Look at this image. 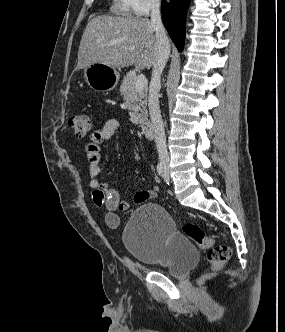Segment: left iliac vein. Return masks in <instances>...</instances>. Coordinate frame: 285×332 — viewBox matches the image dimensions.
<instances>
[{"label": "left iliac vein", "mask_w": 285, "mask_h": 332, "mask_svg": "<svg viewBox=\"0 0 285 332\" xmlns=\"http://www.w3.org/2000/svg\"><path fill=\"white\" fill-rule=\"evenodd\" d=\"M164 180L166 182H169L170 181V175H169V170H168V167L165 166L164 168Z\"/></svg>", "instance_id": "4c4485c4"}]
</instances>
